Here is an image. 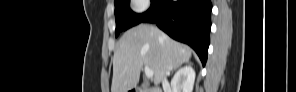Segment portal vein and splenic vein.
Listing matches in <instances>:
<instances>
[{
	"label": "portal vein and splenic vein",
	"mask_w": 296,
	"mask_h": 92,
	"mask_svg": "<svg viewBox=\"0 0 296 92\" xmlns=\"http://www.w3.org/2000/svg\"><path fill=\"white\" fill-rule=\"evenodd\" d=\"M145 75L147 78H152L154 75L153 70H151L147 65L144 66Z\"/></svg>",
	"instance_id": "obj_1"
}]
</instances>
